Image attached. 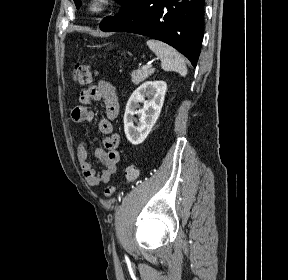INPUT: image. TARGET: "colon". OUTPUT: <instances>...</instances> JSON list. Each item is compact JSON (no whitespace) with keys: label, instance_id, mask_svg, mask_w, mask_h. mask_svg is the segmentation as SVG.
I'll return each mask as SVG.
<instances>
[{"label":"colon","instance_id":"obj_1","mask_svg":"<svg viewBox=\"0 0 288 280\" xmlns=\"http://www.w3.org/2000/svg\"><path fill=\"white\" fill-rule=\"evenodd\" d=\"M95 76V71L89 64L77 63L73 71V80L79 85H89ZM139 176V170L135 164H129L125 169V182L133 183ZM116 191L115 186H108L104 194L106 197H111Z\"/></svg>","mask_w":288,"mask_h":280}]
</instances>
